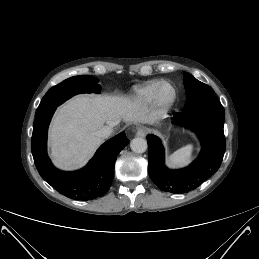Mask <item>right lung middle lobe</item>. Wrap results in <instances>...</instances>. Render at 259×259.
Wrapping results in <instances>:
<instances>
[{"mask_svg": "<svg viewBox=\"0 0 259 259\" xmlns=\"http://www.w3.org/2000/svg\"><path fill=\"white\" fill-rule=\"evenodd\" d=\"M101 90L97 80L89 75H79L68 78L58 85L50 88L41 100L36 115L56 108L67 99L79 93H99Z\"/></svg>", "mask_w": 259, "mask_h": 259, "instance_id": "obj_1", "label": "right lung middle lobe"}]
</instances>
